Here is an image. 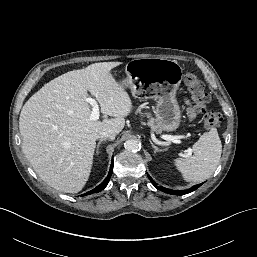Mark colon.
Wrapping results in <instances>:
<instances>
[{
	"label": "colon",
	"instance_id": "1",
	"mask_svg": "<svg viewBox=\"0 0 257 257\" xmlns=\"http://www.w3.org/2000/svg\"><path fill=\"white\" fill-rule=\"evenodd\" d=\"M184 82L190 92L194 105L204 112L202 118L204 126L207 129L219 126L222 121L221 114L217 112L205 111V108L209 101V96L205 91L204 84L193 73H186L184 75Z\"/></svg>",
	"mask_w": 257,
	"mask_h": 257
}]
</instances>
